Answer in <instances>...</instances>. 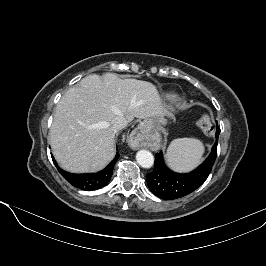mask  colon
Wrapping results in <instances>:
<instances>
[{
  "mask_svg": "<svg viewBox=\"0 0 266 266\" xmlns=\"http://www.w3.org/2000/svg\"><path fill=\"white\" fill-rule=\"evenodd\" d=\"M198 128L205 135H211L213 132V125L208 115H203L198 121Z\"/></svg>",
  "mask_w": 266,
  "mask_h": 266,
  "instance_id": "5ec220e1",
  "label": "colon"
}]
</instances>
